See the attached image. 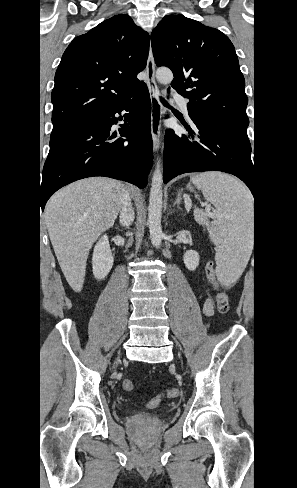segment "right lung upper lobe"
Instances as JSON below:
<instances>
[{
    "instance_id": "right-lung-upper-lobe-1",
    "label": "right lung upper lobe",
    "mask_w": 297,
    "mask_h": 488,
    "mask_svg": "<svg viewBox=\"0 0 297 488\" xmlns=\"http://www.w3.org/2000/svg\"><path fill=\"white\" fill-rule=\"evenodd\" d=\"M149 35L119 14L76 37L65 50L52 90L54 132L110 110L143 82Z\"/></svg>"
}]
</instances>
